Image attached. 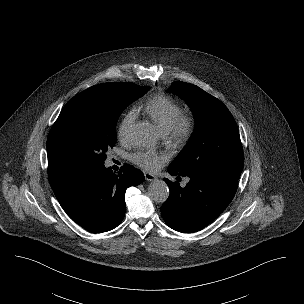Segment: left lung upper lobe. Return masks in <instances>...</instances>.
I'll return each mask as SVG.
<instances>
[{"label": "left lung upper lobe", "mask_w": 304, "mask_h": 304, "mask_svg": "<svg viewBox=\"0 0 304 304\" xmlns=\"http://www.w3.org/2000/svg\"><path fill=\"white\" fill-rule=\"evenodd\" d=\"M190 106L196 125L191 141L169 165L181 175H219L237 180L244 166L236 122L227 107L196 85L177 81L168 89Z\"/></svg>", "instance_id": "left-lung-upper-lobe-1"}]
</instances>
